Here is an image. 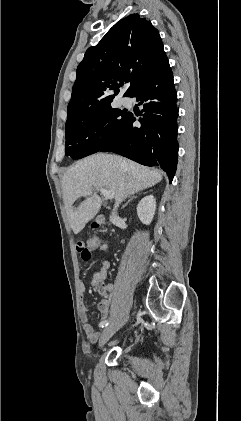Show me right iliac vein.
I'll list each match as a JSON object with an SVG mask.
<instances>
[{
    "label": "right iliac vein",
    "mask_w": 241,
    "mask_h": 421,
    "mask_svg": "<svg viewBox=\"0 0 241 421\" xmlns=\"http://www.w3.org/2000/svg\"><path fill=\"white\" fill-rule=\"evenodd\" d=\"M128 320V316L123 318L121 321L113 323L106 327L100 337L99 340V348H102L108 340L118 331Z\"/></svg>",
    "instance_id": "obj_1"
}]
</instances>
